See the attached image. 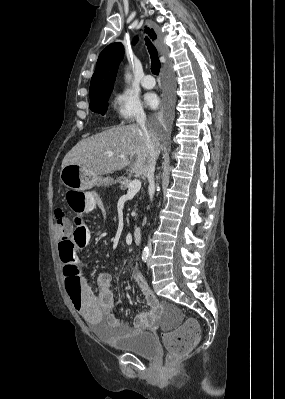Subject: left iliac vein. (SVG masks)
Segmentation results:
<instances>
[{"label":"left iliac vein","instance_id":"obj_1","mask_svg":"<svg viewBox=\"0 0 285 399\" xmlns=\"http://www.w3.org/2000/svg\"><path fill=\"white\" fill-rule=\"evenodd\" d=\"M150 264H151V260L148 261V266H150Z\"/></svg>","mask_w":285,"mask_h":399}]
</instances>
